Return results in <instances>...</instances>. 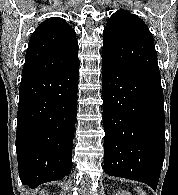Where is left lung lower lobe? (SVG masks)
<instances>
[{"label":"left lung lower lobe","mask_w":178,"mask_h":195,"mask_svg":"<svg viewBox=\"0 0 178 195\" xmlns=\"http://www.w3.org/2000/svg\"><path fill=\"white\" fill-rule=\"evenodd\" d=\"M104 171L156 190L165 154L161 82L102 58Z\"/></svg>","instance_id":"left-lung-lower-lobe-1"}]
</instances>
